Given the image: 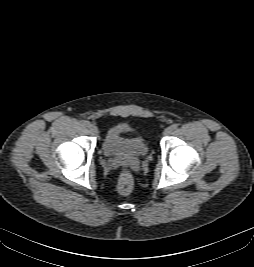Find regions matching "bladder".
<instances>
[{
    "label": "bladder",
    "instance_id": "31cf9c89",
    "mask_svg": "<svg viewBox=\"0 0 254 267\" xmlns=\"http://www.w3.org/2000/svg\"><path fill=\"white\" fill-rule=\"evenodd\" d=\"M102 150L110 158H140L147 154L144 138L126 123L111 127L103 140Z\"/></svg>",
    "mask_w": 254,
    "mask_h": 267
}]
</instances>
